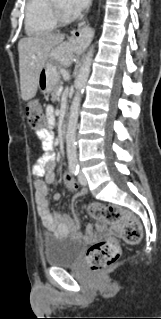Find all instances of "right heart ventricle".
<instances>
[{
	"label": "right heart ventricle",
	"mask_w": 161,
	"mask_h": 319,
	"mask_svg": "<svg viewBox=\"0 0 161 319\" xmlns=\"http://www.w3.org/2000/svg\"><path fill=\"white\" fill-rule=\"evenodd\" d=\"M50 0H27L25 6V32L30 37L51 33L57 25Z\"/></svg>",
	"instance_id": "right-heart-ventricle-1"
}]
</instances>
